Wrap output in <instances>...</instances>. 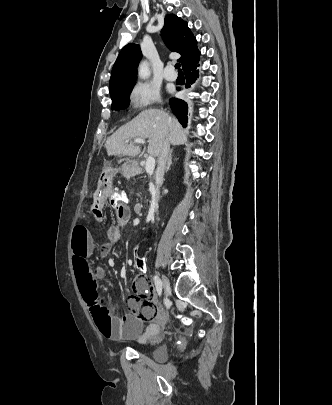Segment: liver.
Instances as JSON below:
<instances>
[{
	"mask_svg": "<svg viewBox=\"0 0 332 405\" xmlns=\"http://www.w3.org/2000/svg\"><path fill=\"white\" fill-rule=\"evenodd\" d=\"M160 109H146L138 114L131 122L119 128L105 143L108 156H137L141 148L126 143L133 138H147V152L150 156L159 157L164 141L178 146L187 141V136L177 119Z\"/></svg>",
	"mask_w": 332,
	"mask_h": 405,
	"instance_id": "obj_1",
	"label": "liver"
}]
</instances>
